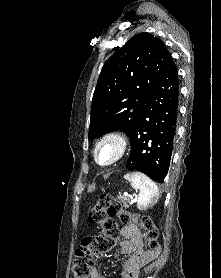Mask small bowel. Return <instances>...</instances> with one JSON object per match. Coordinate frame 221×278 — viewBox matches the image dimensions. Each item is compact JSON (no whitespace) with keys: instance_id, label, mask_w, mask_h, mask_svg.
<instances>
[{"instance_id":"1","label":"small bowel","mask_w":221,"mask_h":278,"mask_svg":"<svg viewBox=\"0 0 221 278\" xmlns=\"http://www.w3.org/2000/svg\"><path fill=\"white\" fill-rule=\"evenodd\" d=\"M122 241L120 242L117 252L121 255H127L121 267L122 278H139L140 269L146 263L151 261L154 256L145 252L143 249V235L138 227L137 218L132 217V222L123 225L121 228ZM90 278H105L101 276L98 269L94 267L91 271Z\"/></svg>"}]
</instances>
